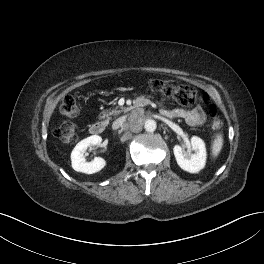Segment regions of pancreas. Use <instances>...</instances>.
Returning <instances> with one entry per match:
<instances>
[{"label": "pancreas", "mask_w": 264, "mask_h": 264, "mask_svg": "<svg viewBox=\"0 0 264 264\" xmlns=\"http://www.w3.org/2000/svg\"><path fill=\"white\" fill-rule=\"evenodd\" d=\"M121 110H112V111H102V115L99 117L100 119H106V122H109V120L111 119V115H118L119 113H121Z\"/></svg>", "instance_id": "pancreas-1"}]
</instances>
